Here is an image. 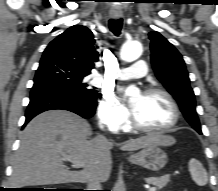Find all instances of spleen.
<instances>
[{
    "mask_svg": "<svg viewBox=\"0 0 218 191\" xmlns=\"http://www.w3.org/2000/svg\"><path fill=\"white\" fill-rule=\"evenodd\" d=\"M188 166L193 181L199 186H205L208 182V177L202 164L198 160L192 158L189 161Z\"/></svg>",
    "mask_w": 218,
    "mask_h": 191,
    "instance_id": "1",
    "label": "spleen"
}]
</instances>
